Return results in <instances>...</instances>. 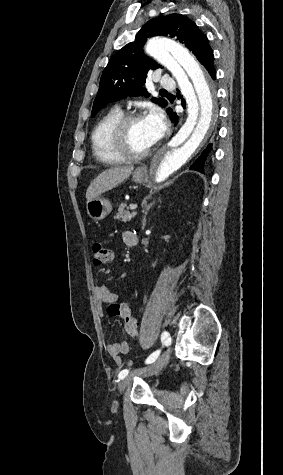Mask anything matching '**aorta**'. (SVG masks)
I'll list each match as a JSON object with an SVG mask.
<instances>
[{
	"instance_id": "762f6f07",
	"label": "aorta",
	"mask_w": 283,
	"mask_h": 475,
	"mask_svg": "<svg viewBox=\"0 0 283 475\" xmlns=\"http://www.w3.org/2000/svg\"><path fill=\"white\" fill-rule=\"evenodd\" d=\"M145 50L171 71L188 105L185 123L151 161L148 184L161 185L188 163L205 142L217 117L215 89L189 51L174 40L155 37L147 42Z\"/></svg>"
}]
</instances>
